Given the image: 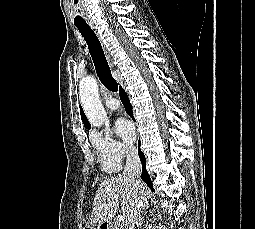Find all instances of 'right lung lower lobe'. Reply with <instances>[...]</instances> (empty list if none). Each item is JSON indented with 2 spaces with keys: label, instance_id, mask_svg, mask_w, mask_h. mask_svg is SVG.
Returning a JSON list of instances; mask_svg holds the SVG:
<instances>
[{
  "label": "right lung lower lobe",
  "instance_id": "98d812e1",
  "mask_svg": "<svg viewBox=\"0 0 255 229\" xmlns=\"http://www.w3.org/2000/svg\"><path fill=\"white\" fill-rule=\"evenodd\" d=\"M119 94H120V99L125 107V110L127 112V114L132 118H133V115H132V105L130 104V101L127 97V94L126 92L124 91V89L120 88L119 89ZM138 154H139V157H140V160L142 162V174H141V179L148 185V187L154 191L153 189V184H152V181L150 179V176L149 174L147 173V170L145 168V165H146V161H145V156L144 154L141 152L140 150V141L138 142Z\"/></svg>",
  "mask_w": 255,
  "mask_h": 229
}]
</instances>
